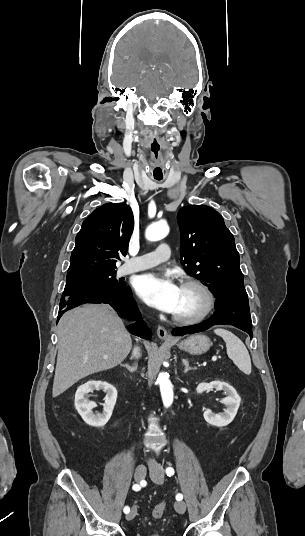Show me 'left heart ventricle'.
<instances>
[{"label":"left heart ventricle","instance_id":"obj_1","mask_svg":"<svg viewBox=\"0 0 305 536\" xmlns=\"http://www.w3.org/2000/svg\"><path fill=\"white\" fill-rule=\"evenodd\" d=\"M206 305L203 293L193 286H180V297L174 314L189 315L201 312Z\"/></svg>","mask_w":305,"mask_h":536}]
</instances>
